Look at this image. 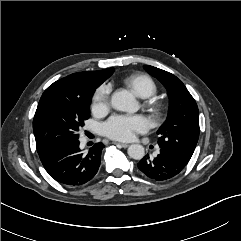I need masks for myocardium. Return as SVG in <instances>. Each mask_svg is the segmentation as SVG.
<instances>
[{
  "label": "myocardium",
  "mask_w": 241,
  "mask_h": 241,
  "mask_svg": "<svg viewBox=\"0 0 241 241\" xmlns=\"http://www.w3.org/2000/svg\"><path fill=\"white\" fill-rule=\"evenodd\" d=\"M144 107L147 108L156 119L160 118L163 114L164 105L155 98H149L144 103Z\"/></svg>",
  "instance_id": "obj_1"
}]
</instances>
